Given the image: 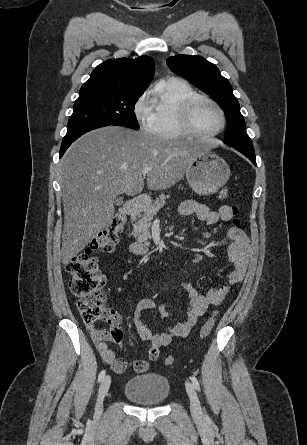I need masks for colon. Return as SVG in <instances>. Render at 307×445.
<instances>
[{
	"label": "colon",
	"mask_w": 307,
	"mask_h": 445,
	"mask_svg": "<svg viewBox=\"0 0 307 445\" xmlns=\"http://www.w3.org/2000/svg\"><path fill=\"white\" fill-rule=\"evenodd\" d=\"M229 191L223 188L219 192V199H227ZM237 212L236 207H232ZM126 215L115 214L107 226L99 233L90 248L83 254L70 259L66 264V270L70 274L69 288L79 299L77 306L82 320L86 324H92L97 320H103L110 325L108 340L120 344L123 333L121 329V318L119 314L107 304L106 295L102 291L105 284V276L99 268L98 260L92 255L93 252L110 253L115 248L126 225ZM234 226L240 225L239 219H234ZM217 312L202 325L199 333L201 339H205L212 331L215 324ZM164 363L170 366L174 363L173 356H167Z\"/></svg>",
	"instance_id": "colon-1"
}]
</instances>
